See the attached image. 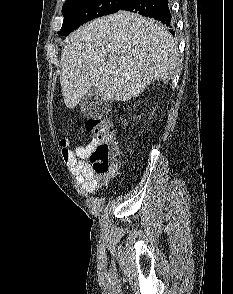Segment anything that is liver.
<instances>
[{
	"mask_svg": "<svg viewBox=\"0 0 233 294\" xmlns=\"http://www.w3.org/2000/svg\"><path fill=\"white\" fill-rule=\"evenodd\" d=\"M178 48L154 19L119 11L74 31L61 52L60 84L67 108L96 87L104 100L128 101L152 82L173 78Z\"/></svg>",
	"mask_w": 233,
	"mask_h": 294,
	"instance_id": "1",
	"label": "liver"
}]
</instances>
